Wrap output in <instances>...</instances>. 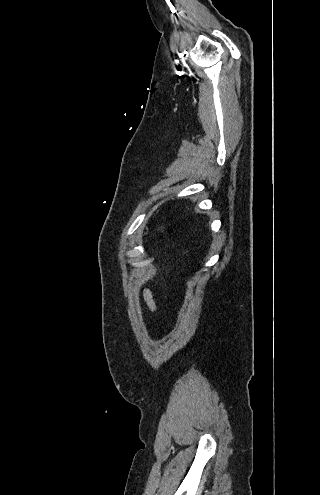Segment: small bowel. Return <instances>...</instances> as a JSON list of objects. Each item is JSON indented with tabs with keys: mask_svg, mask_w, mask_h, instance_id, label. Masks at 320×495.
<instances>
[{
	"mask_svg": "<svg viewBox=\"0 0 320 495\" xmlns=\"http://www.w3.org/2000/svg\"><path fill=\"white\" fill-rule=\"evenodd\" d=\"M144 300H145V302L147 303L148 307L151 310H155L156 309V304H155V301H154V298H153V294H152L151 290L148 289V288H146L144 290Z\"/></svg>",
	"mask_w": 320,
	"mask_h": 495,
	"instance_id": "small-bowel-1",
	"label": "small bowel"
}]
</instances>
